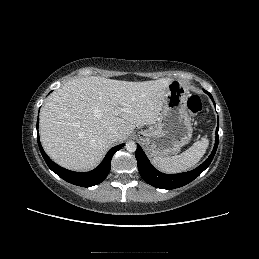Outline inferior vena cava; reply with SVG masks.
<instances>
[{"label":"inferior vena cava","instance_id":"inferior-vena-cava-1","mask_svg":"<svg viewBox=\"0 0 259 259\" xmlns=\"http://www.w3.org/2000/svg\"><path fill=\"white\" fill-rule=\"evenodd\" d=\"M106 137L110 142L115 143L120 138V133L118 130L111 128L107 131Z\"/></svg>","mask_w":259,"mask_h":259}]
</instances>
